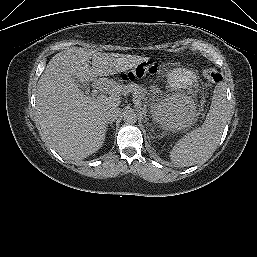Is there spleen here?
<instances>
[{
	"instance_id": "obj_1",
	"label": "spleen",
	"mask_w": 257,
	"mask_h": 257,
	"mask_svg": "<svg viewBox=\"0 0 257 257\" xmlns=\"http://www.w3.org/2000/svg\"><path fill=\"white\" fill-rule=\"evenodd\" d=\"M228 118L225 88L216 86L203 125L178 140L170 152L173 164L186 167L206 161L216 150Z\"/></svg>"
}]
</instances>
